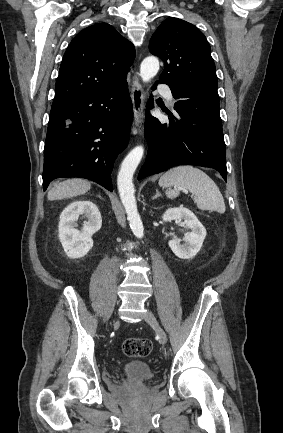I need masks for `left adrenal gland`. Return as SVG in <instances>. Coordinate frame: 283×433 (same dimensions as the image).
Segmentation results:
<instances>
[{"label":"left adrenal gland","mask_w":283,"mask_h":433,"mask_svg":"<svg viewBox=\"0 0 283 433\" xmlns=\"http://www.w3.org/2000/svg\"><path fill=\"white\" fill-rule=\"evenodd\" d=\"M157 196H162V194H160L158 188H156V194H155V196H152V198H157Z\"/></svg>","instance_id":"a2214340"}]
</instances>
